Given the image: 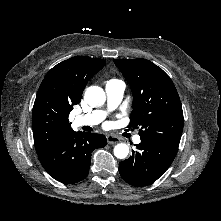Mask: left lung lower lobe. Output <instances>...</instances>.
<instances>
[{
  "instance_id": "obj_1",
  "label": "left lung lower lobe",
  "mask_w": 221,
  "mask_h": 221,
  "mask_svg": "<svg viewBox=\"0 0 221 221\" xmlns=\"http://www.w3.org/2000/svg\"><path fill=\"white\" fill-rule=\"evenodd\" d=\"M132 156L119 163L122 178L133 186H146L156 181L169 168L178 147L141 137Z\"/></svg>"
}]
</instances>
